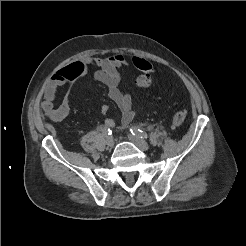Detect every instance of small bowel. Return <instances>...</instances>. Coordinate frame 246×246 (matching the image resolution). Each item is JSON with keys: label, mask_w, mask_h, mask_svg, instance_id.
<instances>
[{"label": "small bowel", "mask_w": 246, "mask_h": 246, "mask_svg": "<svg viewBox=\"0 0 246 246\" xmlns=\"http://www.w3.org/2000/svg\"><path fill=\"white\" fill-rule=\"evenodd\" d=\"M128 62L121 54H115L109 57H88L81 61L69 64L55 72L44 91L41 108L45 115L54 122L63 121L69 114V98L64 97L59 105H55L57 90L59 87L72 86L74 82L87 73L89 66H95L98 69L94 73V78L105 84L108 88V96L114 101L121 111V122L130 123L136 115L137 108L133 105L132 97L123 93L120 88L121 76L119 69L127 66ZM101 111L104 115L108 112V106L103 104ZM104 124L108 127H114L113 119L105 117Z\"/></svg>", "instance_id": "1"}]
</instances>
